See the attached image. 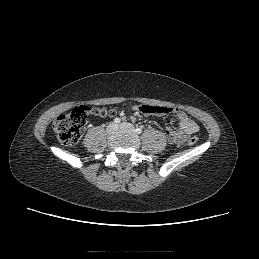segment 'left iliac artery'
Returning a JSON list of instances; mask_svg holds the SVG:
<instances>
[{
    "mask_svg": "<svg viewBox=\"0 0 259 259\" xmlns=\"http://www.w3.org/2000/svg\"><path fill=\"white\" fill-rule=\"evenodd\" d=\"M136 132H137L138 134H141V133H142V129H141V128H136Z\"/></svg>",
    "mask_w": 259,
    "mask_h": 259,
    "instance_id": "1",
    "label": "left iliac artery"
}]
</instances>
